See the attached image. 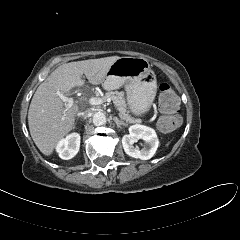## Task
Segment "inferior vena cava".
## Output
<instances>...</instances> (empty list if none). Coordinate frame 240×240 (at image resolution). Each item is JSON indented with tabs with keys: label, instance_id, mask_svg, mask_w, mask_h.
Here are the masks:
<instances>
[{
	"label": "inferior vena cava",
	"instance_id": "inferior-vena-cava-1",
	"mask_svg": "<svg viewBox=\"0 0 240 240\" xmlns=\"http://www.w3.org/2000/svg\"><path fill=\"white\" fill-rule=\"evenodd\" d=\"M91 111L90 110H84V111H80L78 113V117H81V118H86L90 115Z\"/></svg>",
	"mask_w": 240,
	"mask_h": 240
}]
</instances>
